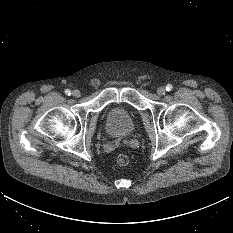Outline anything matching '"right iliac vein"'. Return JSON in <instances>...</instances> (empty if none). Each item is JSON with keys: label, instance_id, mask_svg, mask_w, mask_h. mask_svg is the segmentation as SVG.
<instances>
[{"label": "right iliac vein", "instance_id": "obj_1", "mask_svg": "<svg viewBox=\"0 0 233 233\" xmlns=\"http://www.w3.org/2000/svg\"><path fill=\"white\" fill-rule=\"evenodd\" d=\"M72 95H73L74 97H80L81 92H80L79 90L75 89V90L72 91Z\"/></svg>", "mask_w": 233, "mask_h": 233}]
</instances>
